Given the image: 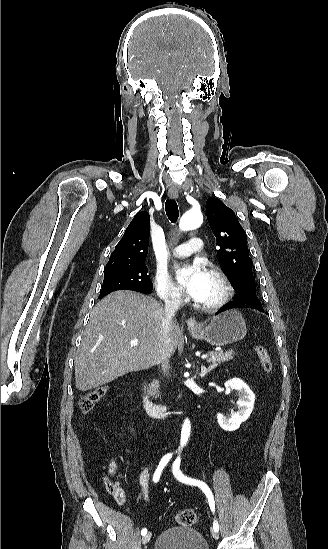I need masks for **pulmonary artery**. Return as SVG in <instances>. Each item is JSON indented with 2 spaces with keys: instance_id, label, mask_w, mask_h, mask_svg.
Instances as JSON below:
<instances>
[{
  "instance_id": "obj_1",
  "label": "pulmonary artery",
  "mask_w": 328,
  "mask_h": 549,
  "mask_svg": "<svg viewBox=\"0 0 328 549\" xmlns=\"http://www.w3.org/2000/svg\"><path fill=\"white\" fill-rule=\"evenodd\" d=\"M187 246H176L174 249V256L176 258H185L193 255L194 252H204L206 244L201 241L199 237H188L186 241Z\"/></svg>"
}]
</instances>
